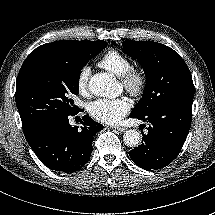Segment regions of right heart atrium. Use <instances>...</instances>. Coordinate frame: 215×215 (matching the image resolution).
<instances>
[{
    "label": "right heart atrium",
    "instance_id": "d8ad5b80",
    "mask_svg": "<svg viewBox=\"0 0 215 215\" xmlns=\"http://www.w3.org/2000/svg\"><path fill=\"white\" fill-rule=\"evenodd\" d=\"M91 74V69L89 66L82 67L76 77V90L77 92L85 96L89 91V78Z\"/></svg>",
    "mask_w": 215,
    "mask_h": 215
}]
</instances>
